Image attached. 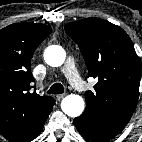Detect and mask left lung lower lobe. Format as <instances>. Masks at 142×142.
Wrapping results in <instances>:
<instances>
[{
	"mask_svg": "<svg viewBox=\"0 0 142 142\" xmlns=\"http://www.w3.org/2000/svg\"><path fill=\"white\" fill-rule=\"evenodd\" d=\"M74 123L81 136L93 142H107L120 133L106 129L93 116L85 112L75 118Z\"/></svg>",
	"mask_w": 142,
	"mask_h": 142,
	"instance_id": "0a47b994",
	"label": "left lung lower lobe"
}]
</instances>
